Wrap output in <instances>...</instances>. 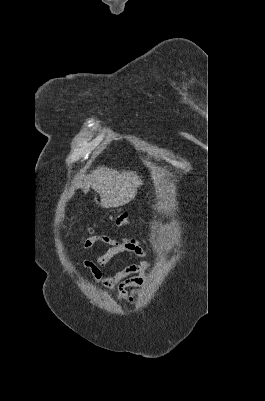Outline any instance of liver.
<instances>
[{"mask_svg": "<svg viewBox=\"0 0 265 401\" xmlns=\"http://www.w3.org/2000/svg\"><path fill=\"white\" fill-rule=\"evenodd\" d=\"M139 176L134 170L118 172L114 168L98 166L89 174L86 182H82L83 192H88L90 186L99 192L100 207L111 209V207H123L135 198L139 184Z\"/></svg>", "mask_w": 265, "mask_h": 401, "instance_id": "6515ba94", "label": "liver"}]
</instances>
